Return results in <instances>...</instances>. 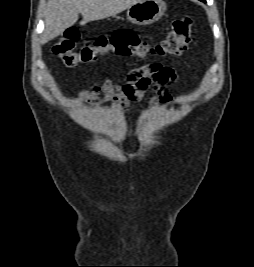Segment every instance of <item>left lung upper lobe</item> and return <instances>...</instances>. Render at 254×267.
<instances>
[{"mask_svg": "<svg viewBox=\"0 0 254 267\" xmlns=\"http://www.w3.org/2000/svg\"><path fill=\"white\" fill-rule=\"evenodd\" d=\"M200 1L206 2V0H200Z\"/></svg>", "mask_w": 254, "mask_h": 267, "instance_id": "obj_1", "label": "left lung upper lobe"}]
</instances>
